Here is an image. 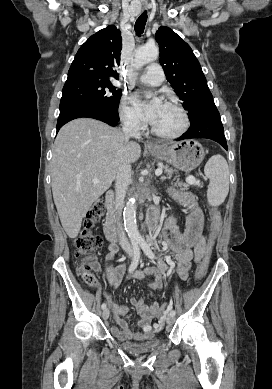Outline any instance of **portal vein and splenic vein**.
<instances>
[{"mask_svg": "<svg viewBox=\"0 0 272 389\" xmlns=\"http://www.w3.org/2000/svg\"><path fill=\"white\" fill-rule=\"evenodd\" d=\"M162 172H163L162 168H158V169H156V171H155V175H156V176H160V175L162 174ZM187 180H188L190 183H196L195 177H193V176L188 177ZM93 182H94V183H98L99 180H98V179H93Z\"/></svg>", "mask_w": 272, "mask_h": 389, "instance_id": "portal-vein-and-splenic-vein-1", "label": "portal vein and splenic vein"}]
</instances>
